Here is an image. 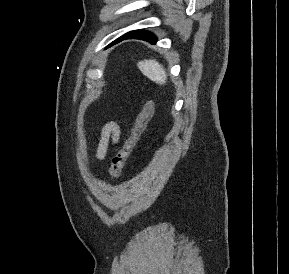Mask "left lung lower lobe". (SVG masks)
<instances>
[{
  "label": "left lung lower lobe",
  "instance_id": "1",
  "mask_svg": "<svg viewBox=\"0 0 289 274\" xmlns=\"http://www.w3.org/2000/svg\"><path fill=\"white\" fill-rule=\"evenodd\" d=\"M127 39H142V40L148 41L152 44H155L157 41L156 36L153 35L152 33H150L149 31L135 30V31H131L130 33L126 34L125 36L115 40L108 47L113 46V45H115V44H117L123 40H127Z\"/></svg>",
  "mask_w": 289,
  "mask_h": 274
}]
</instances>
